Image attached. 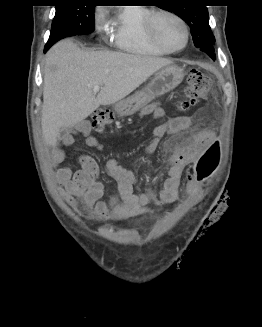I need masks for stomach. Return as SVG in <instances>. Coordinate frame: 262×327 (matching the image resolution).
I'll use <instances>...</instances> for the list:
<instances>
[{"instance_id": "obj_1", "label": "stomach", "mask_w": 262, "mask_h": 327, "mask_svg": "<svg viewBox=\"0 0 262 327\" xmlns=\"http://www.w3.org/2000/svg\"><path fill=\"white\" fill-rule=\"evenodd\" d=\"M184 78L183 69L170 64L160 69L151 82L142 90L117 102L114 109L118 115L131 116L148 103L177 87Z\"/></svg>"}]
</instances>
